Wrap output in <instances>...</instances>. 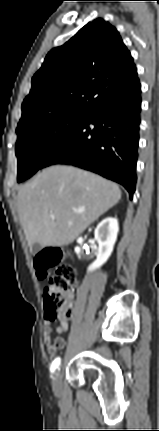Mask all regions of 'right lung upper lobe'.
Listing matches in <instances>:
<instances>
[{
  "label": "right lung upper lobe",
  "instance_id": "1",
  "mask_svg": "<svg viewBox=\"0 0 159 431\" xmlns=\"http://www.w3.org/2000/svg\"><path fill=\"white\" fill-rule=\"evenodd\" d=\"M137 79L135 64L118 31L96 19L47 54L32 78L17 130L61 112L89 113Z\"/></svg>",
  "mask_w": 159,
  "mask_h": 431
}]
</instances>
